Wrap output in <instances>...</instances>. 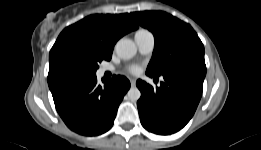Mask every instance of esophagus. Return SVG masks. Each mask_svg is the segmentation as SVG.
<instances>
[{
    "mask_svg": "<svg viewBox=\"0 0 261 150\" xmlns=\"http://www.w3.org/2000/svg\"><path fill=\"white\" fill-rule=\"evenodd\" d=\"M131 86L134 87L136 85V80L134 78H130Z\"/></svg>",
    "mask_w": 261,
    "mask_h": 150,
    "instance_id": "esophagus-1",
    "label": "esophagus"
}]
</instances>
